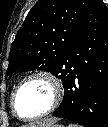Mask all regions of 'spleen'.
<instances>
[{
	"label": "spleen",
	"instance_id": "1",
	"mask_svg": "<svg viewBox=\"0 0 108 127\" xmlns=\"http://www.w3.org/2000/svg\"><path fill=\"white\" fill-rule=\"evenodd\" d=\"M69 127H82V126L71 123V124H69Z\"/></svg>",
	"mask_w": 108,
	"mask_h": 127
}]
</instances>
